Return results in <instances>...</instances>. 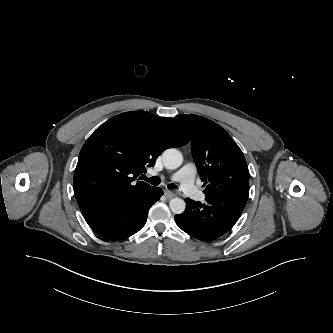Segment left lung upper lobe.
Here are the masks:
<instances>
[{"mask_svg":"<svg viewBox=\"0 0 333 333\" xmlns=\"http://www.w3.org/2000/svg\"><path fill=\"white\" fill-rule=\"evenodd\" d=\"M192 136V154L204 193L229 182L249 179L245 157L230 135L215 122L196 115L176 116Z\"/></svg>","mask_w":333,"mask_h":333,"instance_id":"5c2ea615","label":"left lung upper lobe"}]
</instances>
